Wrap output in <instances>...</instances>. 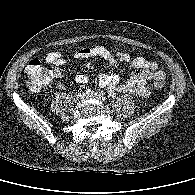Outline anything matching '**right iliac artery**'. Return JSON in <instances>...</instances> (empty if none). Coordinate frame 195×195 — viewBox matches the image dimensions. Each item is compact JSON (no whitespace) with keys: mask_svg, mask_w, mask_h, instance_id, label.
<instances>
[{"mask_svg":"<svg viewBox=\"0 0 195 195\" xmlns=\"http://www.w3.org/2000/svg\"><path fill=\"white\" fill-rule=\"evenodd\" d=\"M90 92H91V89H86V90H85V93H86V94H88V93H90Z\"/></svg>","mask_w":195,"mask_h":195,"instance_id":"right-iliac-artery-1","label":"right iliac artery"}]
</instances>
